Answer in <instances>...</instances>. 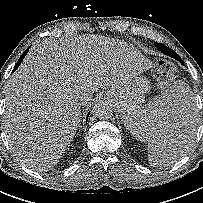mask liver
I'll return each mask as SVG.
<instances>
[{
	"label": "liver",
	"instance_id": "liver-1",
	"mask_svg": "<svg viewBox=\"0 0 203 203\" xmlns=\"http://www.w3.org/2000/svg\"><path fill=\"white\" fill-rule=\"evenodd\" d=\"M146 62L132 46L102 36L38 41L6 87L4 126L14 155L35 171L53 168L77 131L81 106L99 88L111 100ZM188 132L184 121L166 114L156 135L181 141Z\"/></svg>",
	"mask_w": 203,
	"mask_h": 203
}]
</instances>
